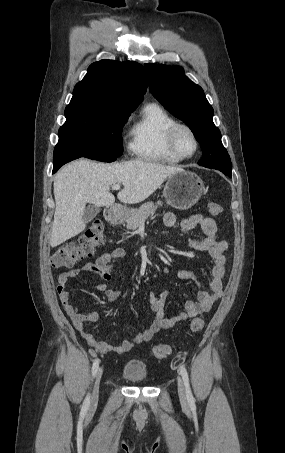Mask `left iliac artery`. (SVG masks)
<instances>
[{
  "mask_svg": "<svg viewBox=\"0 0 285 453\" xmlns=\"http://www.w3.org/2000/svg\"><path fill=\"white\" fill-rule=\"evenodd\" d=\"M180 372H181V376L184 381L186 397H187L188 403L192 409H195V401H194V397H193L191 389H190L188 373H187L186 368L183 365L180 366Z\"/></svg>",
  "mask_w": 285,
  "mask_h": 453,
  "instance_id": "left-iliac-artery-1",
  "label": "left iliac artery"
}]
</instances>
